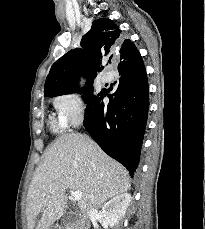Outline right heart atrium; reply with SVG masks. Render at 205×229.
<instances>
[{"label": "right heart atrium", "mask_w": 205, "mask_h": 229, "mask_svg": "<svg viewBox=\"0 0 205 229\" xmlns=\"http://www.w3.org/2000/svg\"><path fill=\"white\" fill-rule=\"evenodd\" d=\"M59 122L65 128H77L85 120L86 102L78 94L70 92L54 99Z\"/></svg>", "instance_id": "obj_1"}]
</instances>
